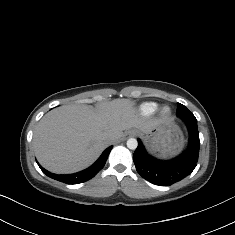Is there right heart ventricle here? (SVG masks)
<instances>
[{
  "mask_svg": "<svg viewBox=\"0 0 235 235\" xmlns=\"http://www.w3.org/2000/svg\"><path fill=\"white\" fill-rule=\"evenodd\" d=\"M157 104L155 103H144L137 108V112L142 116L149 117L157 112ZM129 107L125 101H115L108 107V113L114 119H117L121 115L128 111Z\"/></svg>",
  "mask_w": 235,
  "mask_h": 235,
  "instance_id": "e07e8e85",
  "label": "right heart ventricle"
}]
</instances>
